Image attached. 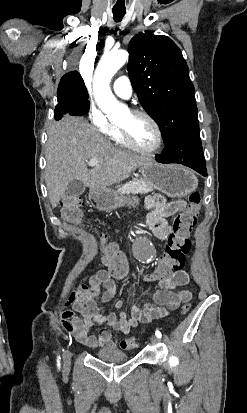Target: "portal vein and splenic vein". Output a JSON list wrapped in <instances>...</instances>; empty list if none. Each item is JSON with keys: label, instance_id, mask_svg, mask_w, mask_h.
Wrapping results in <instances>:
<instances>
[{"label": "portal vein and splenic vein", "instance_id": "portal-vein-and-splenic-vein-1", "mask_svg": "<svg viewBox=\"0 0 247 413\" xmlns=\"http://www.w3.org/2000/svg\"><path fill=\"white\" fill-rule=\"evenodd\" d=\"M100 160L99 158H90V160H88L87 164L88 166H97V164H99Z\"/></svg>", "mask_w": 247, "mask_h": 413}]
</instances>
